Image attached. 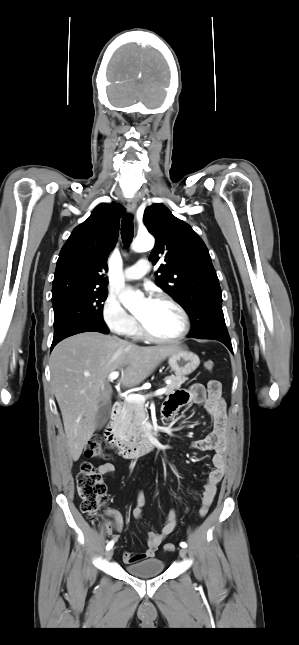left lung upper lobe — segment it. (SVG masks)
I'll return each mask as SVG.
<instances>
[{
	"mask_svg": "<svg viewBox=\"0 0 299 645\" xmlns=\"http://www.w3.org/2000/svg\"><path fill=\"white\" fill-rule=\"evenodd\" d=\"M143 220L156 238L150 260L165 261L157 271V285L187 312L192 323L190 334H204L217 320L224 319L222 292L206 245L190 225L173 216L162 203L147 207Z\"/></svg>",
	"mask_w": 299,
	"mask_h": 645,
	"instance_id": "1",
	"label": "left lung upper lobe"
}]
</instances>
